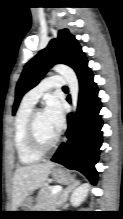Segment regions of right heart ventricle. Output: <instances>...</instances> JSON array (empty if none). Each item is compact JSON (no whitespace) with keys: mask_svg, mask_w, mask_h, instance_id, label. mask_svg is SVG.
<instances>
[{"mask_svg":"<svg viewBox=\"0 0 123 219\" xmlns=\"http://www.w3.org/2000/svg\"><path fill=\"white\" fill-rule=\"evenodd\" d=\"M33 105L22 101L17 111L14 121V144L19 161L24 165L37 163L41 159V155L34 152L28 141V120Z\"/></svg>","mask_w":123,"mask_h":219,"instance_id":"1","label":"right heart ventricle"}]
</instances>
